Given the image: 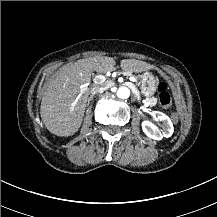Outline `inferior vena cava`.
I'll list each match as a JSON object with an SVG mask.
<instances>
[{"label": "inferior vena cava", "mask_w": 217, "mask_h": 217, "mask_svg": "<svg viewBox=\"0 0 217 217\" xmlns=\"http://www.w3.org/2000/svg\"><path fill=\"white\" fill-rule=\"evenodd\" d=\"M106 89H107L106 86L96 85L93 88H91V94L95 95L96 93L101 92Z\"/></svg>", "instance_id": "obj_1"}]
</instances>
